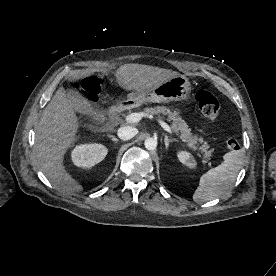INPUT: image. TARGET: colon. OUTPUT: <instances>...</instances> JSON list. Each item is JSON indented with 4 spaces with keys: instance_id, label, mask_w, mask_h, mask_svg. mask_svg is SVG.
<instances>
[{
    "instance_id": "colon-1",
    "label": "colon",
    "mask_w": 276,
    "mask_h": 276,
    "mask_svg": "<svg viewBox=\"0 0 276 276\" xmlns=\"http://www.w3.org/2000/svg\"><path fill=\"white\" fill-rule=\"evenodd\" d=\"M76 88L83 90L92 99L96 98L99 91L98 83L92 78H84L76 82ZM195 100L201 113L210 121L215 122L219 116V101L217 97L207 89H200L195 95ZM225 147L228 150L235 151L239 149V141L236 137H229L225 141Z\"/></svg>"
}]
</instances>
